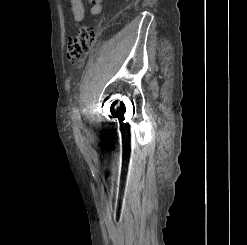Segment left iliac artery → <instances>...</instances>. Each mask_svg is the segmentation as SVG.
<instances>
[{
    "instance_id": "obj_1",
    "label": "left iliac artery",
    "mask_w": 247,
    "mask_h": 245,
    "mask_svg": "<svg viewBox=\"0 0 247 245\" xmlns=\"http://www.w3.org/2000/svg\"><path fill=\"white\" fill-rule=\"evenodd\" d=\"M73 119H74L75 125L80 126L81 116H80L79 110L77 108H75L73 111Z\"/></svg>"
}]
</instances>
